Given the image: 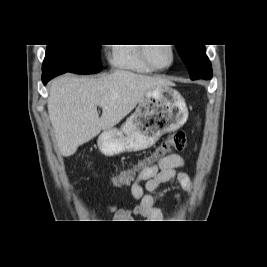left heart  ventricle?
I'll list each match as a JSON object with an SVG mask.
<instances>
[{"mask_svg": "<svg viewBox=\"0 0 267 267\" xmlns=\"http://www.w3.org/2000/svg\"><path fill=\"white\" fill-rule=\"evenodd\" d=\"M151 58L158 66H167L171 60V53L167 46L158 45L151 49Z\"/></svg>", "mask_w": 267, "mask_h": 267, "instance_id": "b2bd125f", "label": "left heart ventricle"}]
</instances>
